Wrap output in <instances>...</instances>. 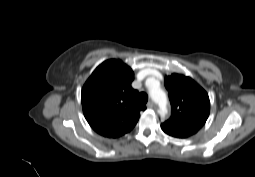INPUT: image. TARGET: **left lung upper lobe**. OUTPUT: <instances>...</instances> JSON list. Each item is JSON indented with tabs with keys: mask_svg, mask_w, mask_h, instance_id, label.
I'll list each match as a JSON object with an SVG mask.
<instances>
[{
	"mask_svg": "<svg viewBox=\"0 0 255 177\" xmlns=\"http://www.w3.org/2000/svg\"><path fill=\"white\" fill-rule=\"evenodd\" d=\"M165 87L172 113L170 119L161 124L162 130L177 138H187L197 133L210 112L207 92L192 78L176 73L165 78Z\"/></svg>",
	"mask_w": 255,
	"mask_h": 177,
	"instance_id": "1",
	"label": "left lung upper lobe"
}]
</instances>
